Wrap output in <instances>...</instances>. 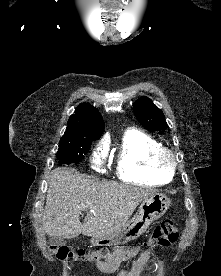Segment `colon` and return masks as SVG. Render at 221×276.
Segmentation results:
<instances>
[{
	"label": "colon",
	"instance_id": "colon-1",
	"mask_svg": "<svg viewBox=\"0 0 221 276\" xmlns=\"http://www.w3.org/2000/svg\"><path fill=\"white\" fill-rule=\"evenodd\" d=\"M179 236V229L175 221L164 220L157 225L150 238L144 243L147 249L166 247L174 243ZM53 255L60 261L71 262H98L107 259L106 251L86 252L84 250L73 251L65 246H52Z\"/></svg>",
	"mask_w": 221,
	"mask_h": 276
}]
</instances>
